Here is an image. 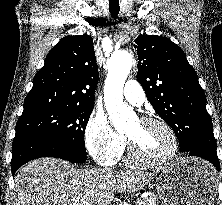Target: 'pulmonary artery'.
<instances>
[{
	"label": "pulmonary artery",
	"mask_w": 222,
	"mask_h": 205,
	"mask_svg": "<svg viewBox=\"0 0 222 205\" xmlns=\"http://www.w3.org/2000/svg\"><path fill=\"white\" fill-rule=\"evenodd\" d=\"M124 98L133 105L140 106L145 100V93L141 85L134 80H128L123 89Z\"/></svg>",
	"instance_id": "pulmonary-artery-1"
}]
</instances>
